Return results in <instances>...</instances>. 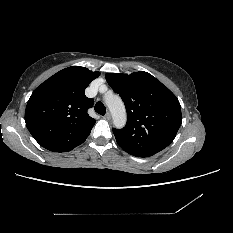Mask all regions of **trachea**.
Listing matches in <instances>:
<instances>
[{"label":"trachea","mask_w":233,"mask_h":233,"mask_svg":"<svg viewBox=\"0 0 233 233\" xmlns=\"http://www.w3.org/2000/svg\"><path fill=\"white\" fill-rule=\"evenodd\" d=\"M94 109L100 115H105L106 113V108L102 102H97Z\"/></svg>","instance_id":"3493384b"}]
</instances>
